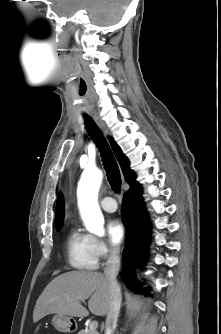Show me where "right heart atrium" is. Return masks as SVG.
<instances>
[{
    "mask_svg": "<svg viewBox=\"0 0 221 334\" xmlns=\"http://www.w3.org/2000/svg\"><path fill=\"white\" fill-rule=\"evenodd\" d=\"M94 250L98 259L107 260L117 254V250L100 238H93Z\"/></svg>",
    "mask_w": 221,
    "mask_h": 334,
    "instance_id": "d8ad5b80",
    "label": "right heart atrium"
}]
</instances>
